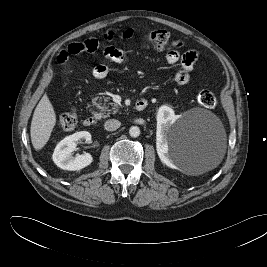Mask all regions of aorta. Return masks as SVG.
<instances>
[{
  "label": "aorta",
  "mask_w": 267,
  "mask_h": 267,
  "mask_svg": "<svg viewBox=\"0 0 267 267\" xmlns=\"http://www.w3.org/2000/svg\"><path fill=\"white\" fill-rule=\"evenodd\" d=\"M129 134L131 137H138L140 135V129L137 126H132L129 130Z\"/></svg>",
  "instance_id": "obj_1"
}]
</instances>
